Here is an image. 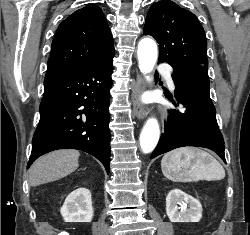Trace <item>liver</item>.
<instances>
[{
	"instance_id": "liver-1",
	"label": "liver",
	"mask_w": 250,
	"mask_h": 235,
	"mask_svg": "<svg viewBox=\"0 0 250 235\" xmlns=\"http://www.w3.org/2000/svg\"><path fill=\"white\" fill-rule=\"evenodd\" d=\"M79 155L76 150H57L40 157L29 171L31 186L55 181L71 174L79 166Z\"/></svg>"
}]
</instances>
